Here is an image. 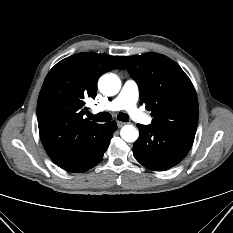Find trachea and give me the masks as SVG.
<instances>
[{"mask_svg": "<svg viewBox=\"0 0 233 233\" xmlns=\"http://www.w3.org/2000/svg\"><path fill=\"white\" fill-rule=\"evenodd\" d=\"M89 118L91 120L97 121V122H106L111 120V114L107 113V112H101L97 115H92L89 114ZM118 120L123 121V122H128L129 121V116L125 113H119L117 116Z\"/></svg>", "mask_w": 233, "mask_h": 233, "instance_id": "3493384b", "label": "trachea"}]
</instances>
